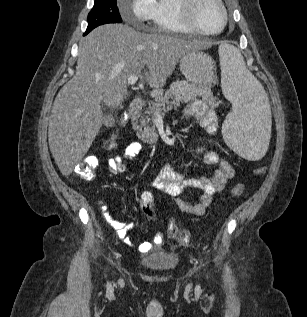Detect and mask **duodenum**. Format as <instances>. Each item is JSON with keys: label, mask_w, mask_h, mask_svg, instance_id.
<instances>
[{"label": "duodenum", "mask_w": 307, "mask_h": 317, "mask_svg": "<svg viewBox=\"0 0 307 317\" xmlns=\"http://www.w3.org/2000/svg\"><path fill=\"white\" fill-rule=\"evenodd\" d=\"M144 106V100L143 99H135L131 102L129 107V115L131 117L137 116L143 109Z\"/></svg>", "instance_id": "410a0bca"}]
</instances>
